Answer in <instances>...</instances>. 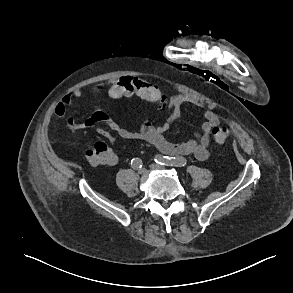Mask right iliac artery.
<instances>
[{"label": "right iliac artery", "instance_id": "1", "mask_svg": "<svg viewBox=\"0 0 293 293\" xmlns=\"http://www.w3.org/2000/svg\"><path fill=\"white\" fill-rule=\"evenodd\" d=\"M142 160L139 159V158H133L131 160V166L134 168V169H138V168H141L142 167Z\"/></svg>", "mask_w": 293, "mask_h": 293}]
</instances>
